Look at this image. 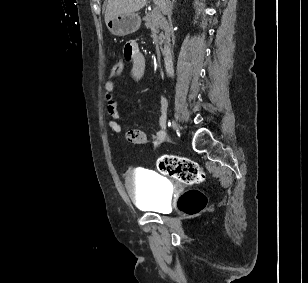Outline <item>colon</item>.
Returning a JSON list of instances; mask_svg holds the SVG:
<instances>
[{
    "label": "colon",
    "instance_id": "1",
    "mask_svg": "<svg viewBox=\"0 0 308 283\" xmlns=\"http://www.w3.org/2000/svg\"><path fill=\"white\" fill-rule=\"evenodd\" d=\"M124 64L122 60H117L113 64L112 74L120 75ZM158 169L161 173L171 176L180 182L193 185L204 180L205 174L199 164L195 161L174 155H163L159 157ZM206 206L204 195L197 190L185 191L178 200V207L189 215H195Z\"/></svg>",
    "mask_w": 308,
    "mask_h": 283
}]
</instances>
